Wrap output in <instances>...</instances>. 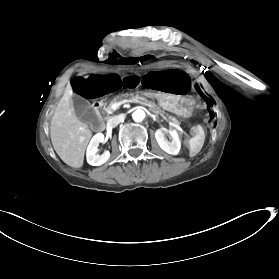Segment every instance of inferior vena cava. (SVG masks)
Returning <instances> with one entry per match:
<instances>
[{
	"instance_id": "1",
	"label": "inferior vena cava",
	"mask_w": 279,
	"mask_h": 279,
	"mask_svg": "<svg viewBox=\"0 0 279 279\" xmlns=\"http://www.w3.org/2000/svg\"><path fill=\"white\" fill-rule=\"evenodd\" d=\"M120 122H124V114H120L118 116H115L113 118H109L108 119V123H107V128H114L115 126H117Z\"/></svg>"
}]
</instances>
